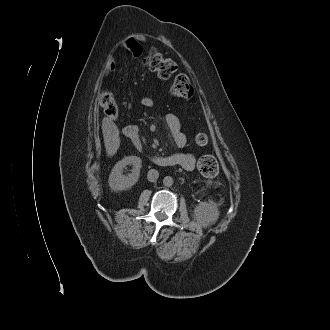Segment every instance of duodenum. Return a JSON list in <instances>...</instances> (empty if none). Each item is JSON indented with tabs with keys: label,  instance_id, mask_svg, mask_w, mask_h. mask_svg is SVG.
I'll list each match as a JSON object with an SVG mask.
<instances>
[{
	"label": "duodenum",
	"instance_id": "410a0bca",
	"mask_svg": "<svg viewBox=\"0 0 330 330\" xmlns=\"http://www.w3.org/2000/svg\"><path fill=\"white\" fill-rule=\"evenodd\" d=\"M131 127H127L126 131L130 130ZM126 137L132 139V140H138V132L136 130L131 131L129 134H125ZM153 160L159 164V165H172L170 160L167 157H161V156H156L153 158Z\"/></svg>",
	"mask_w": 330,
	"mask_h": 330
}]
</instances>
